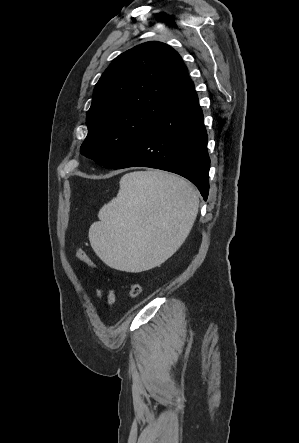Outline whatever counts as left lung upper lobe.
<instances>
[{
	"mask_svg": "<svg viewBox=\"0 0 299 443\" xmlns=\"http://www.w3.org/2000/svg\"><path fill=\"white\" fill-rule=\"evenodd\" d=\"M190 82L180 55L165 43L122 53L95 86L81 153L112 168Z\"/></svg>",
	"mask_w": 299,
	"mask_h": 443,
	"instance_id": "left-lung-upper-lobe-1",
	"label": "left lung upper lobe"
}]
</instances>
